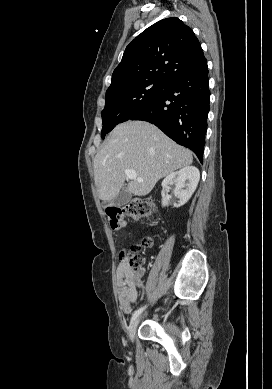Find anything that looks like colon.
<instances>
[{"label": "colon", "mask_w": 272, "mask_h": 389, "mask_svg": "<svg viewBox=\"0 0 272 389\" xmlns=\"http://www.w3.org/2000/svg\"><path fill=\"white\" fill-rule=\"evenodd\" d=\"M153 212L152 205L142 199H134L121 208H110L107 210V220L113 230H119L124 225L125 217L148 218ZM152 245L151 238H146L141 244L131 248L128 254L122 253L121 258L127 257L131 268H138L142 262V251Z\"/></svg>", "instance_id": "5ec220e1"}]
</instances>
